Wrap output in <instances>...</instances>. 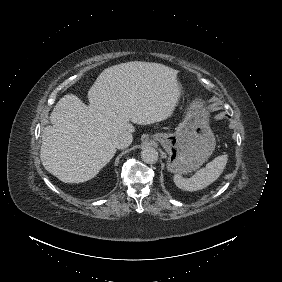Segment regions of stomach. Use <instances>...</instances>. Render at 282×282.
Instances as JSON below:
<instances>
[{
  "label": "stomach",
  "instance_id": "1",
  "mask_svg": "<svg viewBox=\"0 0 282 282\" xmlns=\"http://www.w3.org/2000/svg\"><path fill=\"white\" fill-rule=\"evenodd\" d=\"M210 110L200 99L193 100L174 133H157L154 139L168 153L167 169L188 173L198 169L213 153L215 136L209 126Z\"/></svg>",
  "mask_w": 282,
  "mask_h": 282
}]
</instances>
